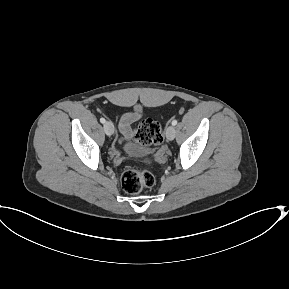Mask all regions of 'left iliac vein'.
<instances>
[{
    "label": "left iliac vein",
    "mask_w": 289,
    "mask_h": 289,
    "mask_svg": "<svg viewBox=\"0 0 289 289\" xmlns=\"http://www.w3.org/2000/svg\"><path fill=\"white\" fill-rule=\"evenodd\" d=\"M175 135H176L175 127L173 125L168 126L166 129L167 139L171 141L175 138Z\"/></svg>",
    "instance_id": "left-iliac-vein-1"
}]
</instances>
